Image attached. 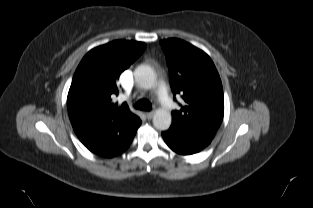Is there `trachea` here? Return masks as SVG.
Wrapping results in <instances>:
<instances>
[{
	"instance_id": "trachea-1",
	"label": "trachea",
	"mask_w": 313,
	"mask_h": 208,
	"mask_svg": "<svg viewBox=\"0 0 313 208\" xmlns=\"http://www.w3.org/2000/svg\"><path fill=\"white\" fill-rule=\"evenodd\" d=\"M134 107L136 109L144 110V111H150L152 109V104L149 100L142 99L135 103Z\"/></svg>"
}]
</instances>
